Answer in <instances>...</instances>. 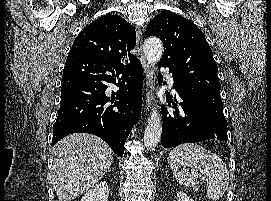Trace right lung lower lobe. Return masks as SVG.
<instances>
[{"label": "right lung lower lobe", "mask_w": 271, "mask_h": 201, "mask_svg": "<svg viewBox=\"0 0 271 201\" xmlns=\"http://www.w3.org/2000/svg\"><path fill=\"white\" fill-rule=\"evenodd\" d=\"M61 104L52 145L71 133L102 138L119 156L141 115L143 70L139 60L109 63L84 55L68 56L62 77ZM119 87L112 96L108 85Z\"/></svg>", "instance_id": "1"}]
</instances>
